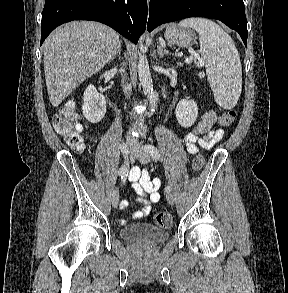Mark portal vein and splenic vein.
<instances>
[{"label": "portal vein and splenic vein", "instance_id": "18ae733b", "mask_svg": "<svg viewBox=\"0 0 288 293\" xmlns=\"http://www.w3.org/2000/svg\"><path fill=\"white\" fill-rule=\"evenodd\" d=\"M92 56H94V55H92ZM196 58L198 59L200 66H203L204 65V62L202 61V59L199 58V57H197V56H196ZM192 59H193V57L187 59V62H191ZM178 64L181 65V63H178Z\"/></svg>", "mask_w": 288, "mask_h": 293}]
</instances>
